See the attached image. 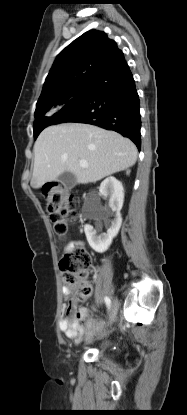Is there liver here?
Wrapping results in <instances>:
<instances>
[{
  "mask_svg": "<svg viewBox=\"0 0 187 415\" xmlns=\"http://www.w3.org/2000/svg\"><path fill=\"white\" fill-rule=\"evenodd\" d=\"M34 155L31 186L38 189L64 172L73 173L77 182L87 184L128 169L137 160V148L114 131L64 123L41 132L34 144ZM80 160H86L88 167H81Z\"/></svg>",
  "mask_w": 187,
  "mask_h": 415,
  "instance_id": "obj_1",
  "label": "liver"
}]
</instances>
